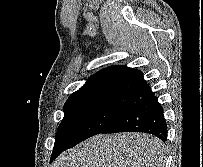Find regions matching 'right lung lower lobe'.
Instances as JSON below:
<instances>
[{"label":"right lung lower lobe","mask_w":203,"mask_h":167,"mask_svg":"<svg viewBox=\"0 0 203 167\" xmlns=\"http://www.w3.org/2000/svg\"><path fill=\"white\" fill-rule=\"evenodd\" d=\"M167 124L163 109L154 94L139 99L102 133L143 132L167 140ZM68 149L55 143L51 155L53 161L61 152Z\"/></svg>","instance_id":"98d812e1"}]
</instances>
